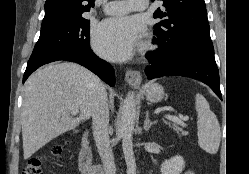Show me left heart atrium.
Wrapping results in <instances>:
<instances>
[{
    "instance_id": "1",
    "label": "left heart atrium",
    "mask_w": 249,
    "mask_h": 174,
    "mask_svg": "<svg viewBox=\"0 0 249 174\" xmlns=\"http://www.w3.org/2000/svg\"><path fill=\"white\" fill-rule=\"evenodd\" d=\"M142 35L143 24L137 17L109 18L95 29L93 45L103 57L124 61L133 56Z\"/></svg>"
}]
</instances>
